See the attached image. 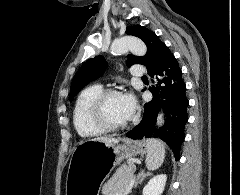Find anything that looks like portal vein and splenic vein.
<instances>
[{"label": "portal vein and splenic vein", "instance_id": "portal-vein-and-splenic-vein-1", "mask_svg": "<svg viewBox=\"0 0 240 195\" xmlns=\"http://www.w3.org/2000/svg\"><path fill=\"white\" fill-rule=\"evenodd\" d=\"M134 177H135L134 173H131V177L128 178V181H129V182H132L133 179H134ZM127 185H128V184H127ZM123 187L125 188L126 186L124 185ZM123 190H124V189L122 188V189L119 191L120 193H117V195H124L125 193H124Z\"/></svg>", "mask_w": 240, "mask_h": 195}]
</instances>
